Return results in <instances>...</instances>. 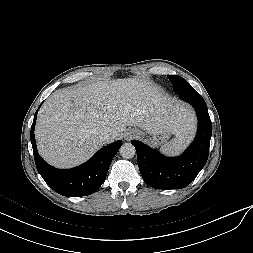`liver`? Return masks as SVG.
I'll list each match as a JSON object with an SVG mask.
<instances>
[{
    "label": "liver",
    "instance_id": "liver-1",
    "mask_svg": "<svg viewBox=\"0 0 253 253\" xmlns=\"http://www.w3.org/2000/svg\"><path fill=\"white\" fill-rule=\"evenodd\" d=\"M192 118L157 88L136 78L76 85L55 91L41 107L35 136L39 154L59 168L80 165L104 144L99 133L111 132L113 142L127 126L152 132L179 133Z\"/></svg>",
    "mask_w": 253,
    "mask_h": 253
}]
</instances>
